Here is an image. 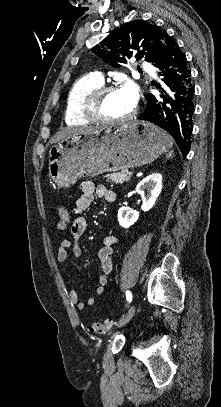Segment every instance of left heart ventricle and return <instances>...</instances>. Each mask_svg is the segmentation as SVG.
I'll use <instances>...</instances> for the list:
<instances>
[{
    "instance_id": "b2bd125f",
    "label": "left heart ventricle",
    "mask_w": 221,
    "mask_h": 407,
    "mask_svg": "<svg viewBox=\"0 0 221 407\" xmlns=\"http://www.w3.org/2000/svg\"><path fill=\"white\" fill-rule=\"evenodd\" d=\"M134 106L128 101L121 89L110 92L103 101V112L110 118H119L133 110Z\"/></svg>"
}]
</instances>
